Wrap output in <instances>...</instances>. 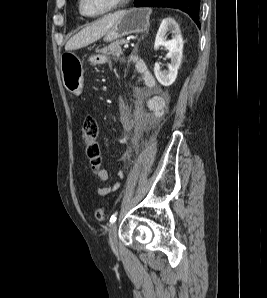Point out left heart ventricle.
I'll return each instance as SVG.
<instances>
[{"label": "left heart ventricle", "instance_id": "obj_1", "mask_svg": "<svg viewBox=\"0 0 267 298\" xmlns=\"http://www.w3.org/2000/svg\"><path fill=\"white\" fill-rule=\"evenodd\" d=\"M116 0H83V9L88 14H97L108 9Z\"/></svg>", "mask_w": 267, "mask_h": 298}]
</instances>
